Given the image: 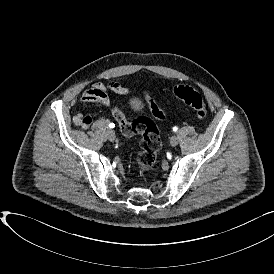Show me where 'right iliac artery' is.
Returning <instances> with one entry per match:
<instances>
[{
    "label": "right iliac artery",
    "mask_w": 274,
    "mask_h": 274,
    "mask_svg": "<svg viewBox=\"0 0 274 274\" xmlns=\"http://www.w3.org/2000/svg\"><path fill=\"white\" fill-rule=\"evenodd\" d=\"M114 126H115L114 123H110V124H109V127H110V128H114Z\"/></svg>",
    "instance_id": "obj_1"
}]
</instances>
